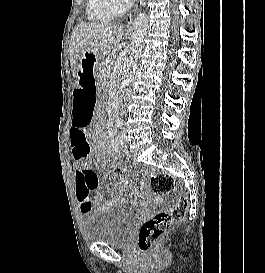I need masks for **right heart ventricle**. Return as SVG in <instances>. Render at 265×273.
I'll return each instance as SVG.
<instances>
[{
	"instance_id": "obj_1",
	"label": "right heart ventricle",
	"mask_w": 265,
	"mask_h": 273,
	"mask_svg": "<svg viewBox=\"0 0 265 273\" xmlns=\"http://www.w3.org/2000/svg\"><path fill=\"white\" fill-rule=\"evenodd\" d=\"M88 15L92 20L105 21L111 19L115 13L105 5L103 0H89Z\"/></svg>"
}]
</instances>
